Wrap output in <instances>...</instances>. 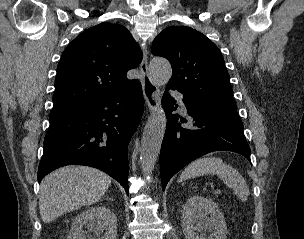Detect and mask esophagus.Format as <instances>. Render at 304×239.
I'll return each instance as SVG.
<instances>
[{"mask_svg":"<svg viewBox=\"0 0 304 239\" xmlns=\"http://www.w3.org/2000/svg\"><path fill=\"white\" fill-rule=\"evenodd\" d=\"M140 72L142 74V89L147 107L150 111H154L159 107V89L149 76L148 50L146 47L143 48Z\"/></svg>","mask_w":304,"mask_h":239,"instance_id":"esophagus-1","label":"esophagus"}]
</instances>
